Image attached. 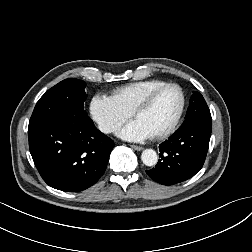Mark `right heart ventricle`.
I'll list each match as a JSON object with an SVG mask.
<instances>
[{
	"label": "right heart ventricle",
	"mask_w": 252,
	"mask_h": 252,
	"mask_svg": "<svg viewBox=\"0 0 252 252\" xmlns=\"http://www.w3.org/2000/svg\"><path fill=\"white\" fill-rule=\"evenodd\" d=\"M166 82L158 79L131 82L112 91L111 97L125 110L132 113L135 106L154 88Z\"/></svg>",
	"instance_id": "1"
}]
</instances>
